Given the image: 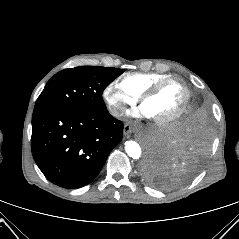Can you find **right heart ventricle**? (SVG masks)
Wrapping results in <instances>:
<instances>
[{"label": "right heart ventricle", "instance_id": "e07e8e85", "mask_svg": "<svg viewBox=\"0 0 239 239\" xmlns=\"http://www.w3.org/2000/svg\"><path fill=\"white\" fill-rule=\"evenodd\" d=\"M168 77H170L168 74L157 72H134L124 75L121 78L120 83L125 89L139 97L150 86Z\"/></svg>", "mask_w": 239, "mask_h": 239}]
</instances>
